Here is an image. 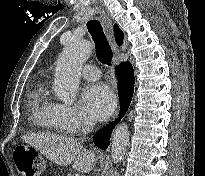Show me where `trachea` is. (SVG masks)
<instances>
[{
	"label": "trachea",
	"instance_id": "3493384b",
	"mask_svg": "<svg viewBox=\"0 0 205 176\" xmlns=\"http://www.w3.org/2000/svg\"><path fill=\"white\" fill-rule=\"evenodd\" d=\"M87 29L95 43L98 60L104 65H111L113 53L105 37L103 27L98 20L87 22Z\"/></svg>",
	"mask_w": 205,
	"mask_h": 176
}]
</instances>
